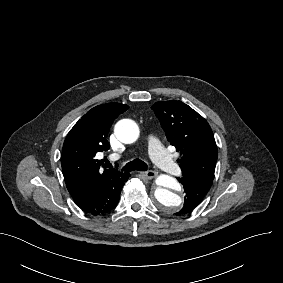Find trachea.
Segmentation results:
<instances>
[{"mask_svg":"<svg viewBox=\"0 0 283 283\" xmlns=\"http://www.w3.org/2000/svg\"><path fill=\"white\" fill-rule=\"evenodd\" d=\"M112 165L111 163H108V168H111ZM147 171V164L140 160L139 158H136L130 162H128L124 168H123V171H126V172H132V171Z\"/></svg>","mask_w":283,"mask_h":283,"instance_id":"trachea-1","label":"trachea"}]
</instances>
